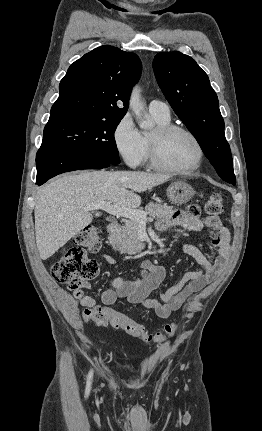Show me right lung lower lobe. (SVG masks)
<instances>
[{
	"instance_id": "obj_1",
	"label": "right lung lower lobe",
	"mask_w": 262,
	"mask_h": 431,
	"mask_svg": "<svg viewBox=\"0 0 262 431\" xmlns=\"http://www.w3.org/2000/svg\"><path fill=\"white\" fill-rule=\"evenodd\" d=\"M110 165V163L98 157L82 152L40 147L36 155V183L40 186L50 178L68 171L101 169Z\"/></svg>"
}]
</instances>
